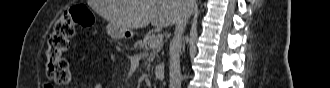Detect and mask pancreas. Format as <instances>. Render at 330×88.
<instances>
[{
  "label": "pancreas",
  "instance_id": "obj_1",
  "mask_svg": "<svg viewBox=\"0 0 330 88\" xmlns=\"http://www.w3.org/2000/svg\"><path fill=\"white\" fill-rule=\"evenodd\" d=\"M155 38H156V35H153V34L146 35L142 40H138L135 43L134 48L148 50L150 45L155 42ZM161 47H162V44L159 45L158 47L151 48L152 51L150 53V58H152L155 54H157L160 51Z\"/></svg>",
  "mask_w": 330,
  "mask_h": 88
}]
</instances>
